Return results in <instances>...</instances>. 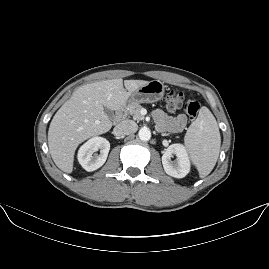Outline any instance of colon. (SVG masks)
I'll return each mask as SVG.
<instances>
[{
	"instance_id": "5ec220e1",
	"label": "colon",
	"mask_w": 269,
	"mask_h": 269,
	"mask_svg": "<svg viewBox=\"0 0 269 269\" xmlns=\"http://www.w3.org/2000/svg\"><path fill=\"white\" fill-rule=\"evenodd\" d=\"M166 108L169 112H177L184 110L190 119H195L201 108V104L197 99L185 100L182 92L177 90H170L166 94Z\"/></svg>"
}]
</instances>
